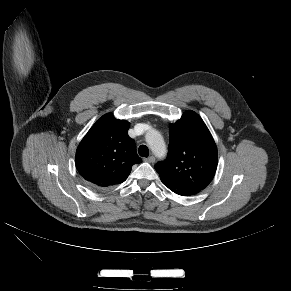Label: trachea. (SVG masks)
Segmentation results:
<instances>
[{"instance_id": "1", "label": "trachea", "mask_w": 291, "mask_h": 291, "mask_svg": "<svg viewBox=\"0 0 291 291\" xmlns=\"http://www.w3.org/2000/svg\"><path fill=\"white\" fill-rule=\"evenodd\" d=\"M138 153L142 157H148L149 156V149L146 145H141L138 149Z\"/></svg>"}]
</instances>
